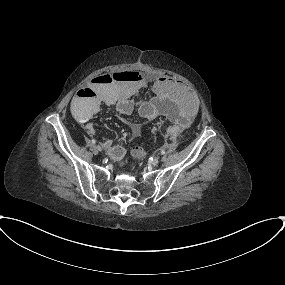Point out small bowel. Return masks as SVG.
Here are the masks:
<instances>
[{
	"label": "small bowel",
	"mask_w": 285,
	"mask_h": 285,
	"mask_svg": "<svg viewBox=\"0 0 285 285\" xmlns=\"http://www.w3.org/2000/svg\"><path fill=\"white\" fill-rule=\"evenodd\" d=\"M125 72L129 71L99 75L88 86L78 90L70 103L73 115L85 125L90 135H96L95 125L90 119L102 104L113 107L121 115L137 113L146 119L163 116L172 123L167 129L168 135L173 141H179L181 132L190 126L198 112L197 102L183 82L169 77L149 79L142 74H138L139 79L135 82L117 77ZM147 84L152 87V97L136 98ZM90 94L95 96L93 100L88 99ZM139 132V126L131 124V138H136ZM101 144L115 161H120L126 154V148L113 144L110 138H102Z\"/></svg>",
	"instance_id": "c3829d8e"
}]
</instances>
